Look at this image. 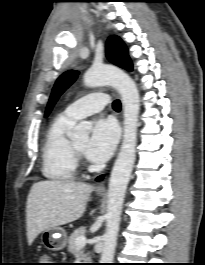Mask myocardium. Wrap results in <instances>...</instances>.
I'll return each mask as SVG.
<instances>
[{"mask_svg":"<svg viewBox=\"0 0 205 265\" xmlns=\"http://www.w3.org/2000/svg\"><path fill=\"white\" fill-rule=\"evenodd\" d=\"M72 149H73V152H74L75 158H76V159L80 158L81 155H82V150L79 149V148L74 144V142H72Z\"/></svg>","mask_w":205,"mask_h":265,"instance_id":"obj_1","label":"myocardium"}]
</instances>
